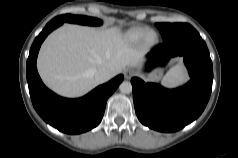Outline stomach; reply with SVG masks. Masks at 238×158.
I'll use <instances>...</instances> for the list:
<instances>
[{
	"mask_svg": "<svg viewBox=\"0 0 238 158\" xmlns=\"http://www.w3.org/2000/svg\"><path fill=\"white\" fill-rule=\"evenodd\" d=\"M161 71L160 70H155L153 73L148 75L147 79L150 81H158L161 78Z\"/></svg>",
	"mask_w": 238,
	"mask_h": 158,
	"instance_id": "0dacf381",
	"label": "stomach"
}]
</instances>
